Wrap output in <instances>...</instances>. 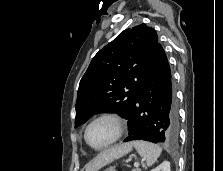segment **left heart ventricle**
Here are the masks:
<instances>
[{
    "label": "left heart ventricle",
    "mask_w": 223,
    "mask_h": 171,
    "mask_svg": "<svg viewBox=\"0 0 223 171\" xmlns=\"http://www.w3.org/2000/svg\"><path fill=\"white\" fill-rule=\"evenodd\" d=\"M116 132L117 128L113 121L102 119L90 126L87 137L93 146L101 147L111 141Z\"/></svg>",
    "instance_id": "1"
}]
</instances>
